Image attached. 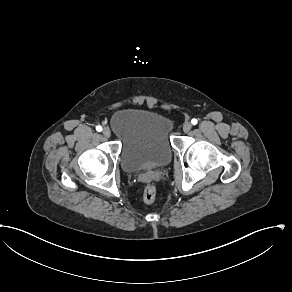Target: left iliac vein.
Wrapping results in <instances>:
<instances>
[{
	"label": "left iliac vein",
	"instance_id": "obj_1",
	"mask_svg": "<svg viewBox=\"0 0 292 292\" xmlns=\"http://www.w3.org/2000/svg\"><path fill=\"white\" fill-rule=\"evenodd\" d=\"M191 128H192V124L190 122H185L183 124V131L184 132H186V133L189 132L191 130Z\"/></svg>",
	"mask_w": 292,
	"mask_h": 292
}]
</instances>
